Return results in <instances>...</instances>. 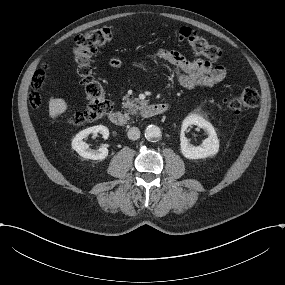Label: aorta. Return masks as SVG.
Returning <instances> with one entry per match:
<instances>
[{
  "label": "aorta",
  "mask_w": 285,
  "mask_h": 285,
  "mask_svg": "<svg viewBox=\"0 0 285 285\" xmlns=\"http://www.w3.org/2000/svg\"><path fill=\"white\" fill-rule=\"evenodd\" d=\"M161 136V130L156 125H149L145 129V137L147 140L153 141L159 139Z\"/></svg>",
  "instance_id": "1"
}]
</instances>
